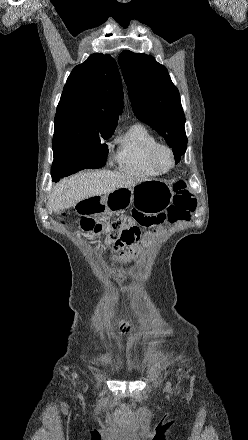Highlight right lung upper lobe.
<instances>
[{
	"label": "right lung upper lobe",
	"mask_w": 248,
	"mask_h": 440,
	"mask_svg": "<svg viewBox=\"0 0 248 440\" xmlns=\"http://www.w3.org/2000/svg\"><path fill=\"white\" fill-rule=\"evenodd\" d=\"M122 96L116 61L107 54H92L67 79L57 107L52 146L115 130L123 108Z\"/></svg>",
	"instance_id": "1"
}]
</instances>
